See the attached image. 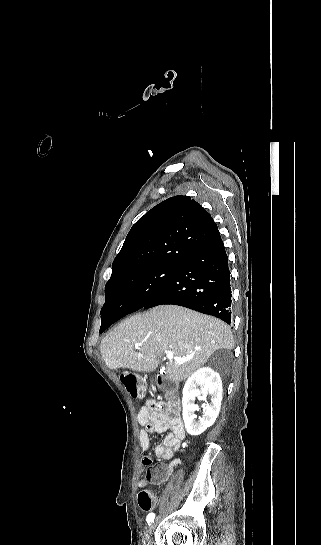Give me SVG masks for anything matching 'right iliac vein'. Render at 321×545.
<instances>
[{
	"label": "right iliac vein",
	"instance_id": "63e3f726",
	"mask_svg": "<svg viewBox=\"0 0 321 545\" xmlns=\"http://www.w3.org/2000/svg\"><path fill=\"white\" fill-rule=\"evenodd\" d=\"M157 524H158V519H156L155 522H153V523L150 525L149 532H148L147 535H146L147 539H150L151 535L153 534V532H154L155 529H156Z\"/></svg>",
	"mask_w": 321,
	"mask_h": 545
}]
</instances>
